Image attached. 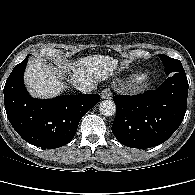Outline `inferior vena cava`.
<instances>
[{
    "mask_svg": "<svg viewBox=\"0 0 195 195\" xmlns=\"http://www.w3.org/2000/svg\"><path fill=\"white\" fill-rule=\"evenodd\" d=\"M96 84L93 82L85 81L76 85V89L82 93H90L96 89Z\"/></svg>",
    "mask_w": 195,
    "mask_h": 195,
    "instance_id": "602c4592",
    "label": "inferior vena cava"
}]
</instances>
